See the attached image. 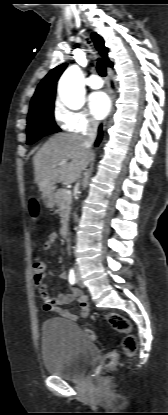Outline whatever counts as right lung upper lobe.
Returning <instances> with one entry per match:
<instances>
[{
    "label": "right lung upper lobe",
    "instance_id": "right-lung-upper-lobe-1",
    "mask_svg": "<svg viewBox=\"0 0 168 415\" xmlns=\"http://www.w3.org/2000/svg\"><path fill=\"white\" fill-rule=\"evenodd\" d=\"M91 37L106 65L112 67L113 63L108 58V48L104 46L103 38L95 32L92 33ZM66 67L67 63L55 67L40 82L31 100L30 111L54 103L57 81Z\"/></svg>",
    "mask_w": 168,
    "mask_h": 415
}]
</instances>
